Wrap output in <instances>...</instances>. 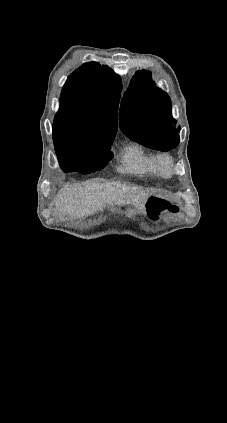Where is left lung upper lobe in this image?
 <instances>
[{"instance_id":"1","label":"left lung upper lobe","mask_w":227,"mask_h":423,"mask_svg":"<svg viewBox=\"0 0 227 423\" xmlns=\"http://www.w3.org/2000/svg\"><path fill=\"white\" fill-rule=\"evenodd\" d=\"M120 129L139 144L168 151L179 144L177 121L168 94L157 88L149 71H137L120 107Z\"/></svg>"}]
</instances>
